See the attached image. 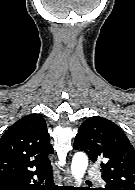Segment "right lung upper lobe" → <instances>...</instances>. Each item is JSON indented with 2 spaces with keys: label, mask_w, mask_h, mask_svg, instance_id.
I'll use <instances>...</instances> for the list:
<instances>
[{
  "label": "right lung upper lobe",
  "mask_w": 135,
  "mask_h": 190,
  "mask_svg": "<svg viewBox=\"0 0 135 190\" xmlns=\"http://www.w3.org/2000/svg\"><path fill=\"white\" fill-rule=\"evenodd\" d=\"M52 153L43 117L39 114L24 116L0 139V177L45 171L52 167L48 158Z\"/></svg>",
  "instance_id": "cb5924a9"
}]
</instances>
